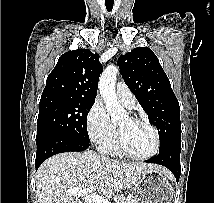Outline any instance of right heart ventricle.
Listing matches in <instances>:
<instances>
[{"mask_svg": "<svg viewBox=\"0 0 214 203\" xmlns=\"http://www.w3.org/2000/svg\"><path fill=\"white\" fill-rule=\"evenodd\" d=\"M102 150L109 154H118V148L116 145V136L106 145L102 146Z\"/></svg>", "mask_w": 214, "mask_h": 203, "instance_id": "1", "label": "right heart ventricle"}]
</instances>
